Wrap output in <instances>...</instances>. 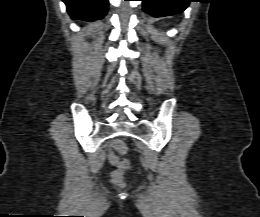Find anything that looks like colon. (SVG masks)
Instances as JSON below:
<instances>
[{
    "mask_svg": "<svg viewBox=\"0 0 260 217\" xmlns=\"http://www.w3.org/2000/svg\"><path fill=\"white\" fill-rule=\"evenodd\" d=\"M113 147L120 153L124 154L127 150L125 143L119 139L112 142ZM130 168V163L128 160L124 159L119 161L116 169L111 174V180L116 185L124 184V174Z\"/></svg>",
    "mask_w": 260,
    "mask_h": 217,
    "instance_id": "1",
    "label": "colon"
}]
</instances>
